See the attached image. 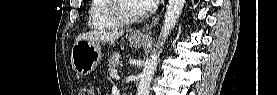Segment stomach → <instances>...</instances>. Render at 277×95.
<instances>
[{"label":"stomach","mask_w":277,"mask_h":95,"mask_svg":"<svg viewBox=\"0 0 277 95\" xmlns=\"http://www.w3.org/2000/svg\"><path fill=\"white\" fill-rule=\"evenodd\" d=\"M131 44L135 47H142L146 44V39L141 38L137 32L129 35ZM101 60V46L99 42L88 40H78L71 50V63L73 70L80 76L90 74Z\"/></svg>","instance_id":"1"}]
</instances>
